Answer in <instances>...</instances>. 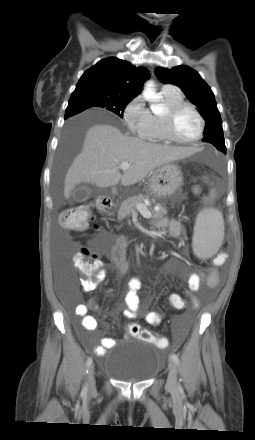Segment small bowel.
Segmentation results:
<instances>
[{"mask_svg":"<svg viewBox=\"0 0 255 440\" xmlns=\"http://www.w3.org/2000/svg\"><path fill=\"white\" fill-rule=\"evenodd\" d=\"M154 227L157 229H163L168 227L169 234L172 238H179L183 232V225L177 219L168 220L166 218H158L154 222ZM128 245V238L125 236H119L116 239L115 244L112 247L110 259L113 264L118 269L121 275H125L128 271V263L126 261V248ZM223 258L222 254H219L216 257V260H220ZM98 264V263H97ZM99 265V264H98ZM105 277V272L102 269L99 276L95 281H101ZM188 290L186 292L187 296L191 299L193 304H197V298L193 294V292L197 291L203 284H207L209 287L213 288L218 286L219 284V275L216 270H212L207 279L203 272L200 273H190L187 278ZM95 285L92 289H87L82 285V289L85 292L92 291L95 288ZM141 281L139 278L134 277L131 278L128 282V290L124 296V302L126 305V309L124 310V316L127 319H134L138 315L140 310L141 300L138 295L139 290L141 289ZM169 298H182L181 295L172 293L168 296ZM89 307L87 305H78L74 309V313L76 317H80V327L84 331H94L98 326L97 319L94 316L88 314ZM144 319L147 323L151 325H159L162 320V316L159 312L150 311L144 314ZM80 338L85 345H89V339L84 335L80 334ZM116 344V340L111 337H105L101 340V344L95 347V352L98 355H103L108 349L113 347ZM161 347V346H160Z\"/></svg>","mask_w":255,"mask_h":440,"instance_id":"1","label":"small bowel"}]
</instances>
